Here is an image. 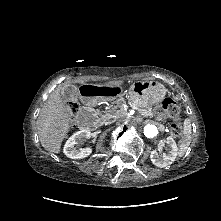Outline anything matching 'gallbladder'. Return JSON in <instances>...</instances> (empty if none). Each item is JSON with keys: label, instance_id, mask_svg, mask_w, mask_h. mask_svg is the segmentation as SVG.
<instances>
[{"label": "gallbladder", "instance_id": "bac80fb5", "mask_svg": "<svg viewBox=\"0 0 221 221\" xmlns=\"http://www.w3.org/2000/svg\"><path fill=\"white\" fill-rule=\"evenodd\" d=\"M61 97L65 102H77L80 95L76 86L65 85L61 90Z\"/></svg>", "mask_w": 221, "mask_h": 221}]
</instances>
